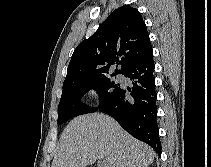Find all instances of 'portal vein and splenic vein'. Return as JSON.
Instances as JSON below:
<instances>
[{"instance_id": "obj_1", "label": "portal vein and splenic vein", "mask_w": 211, "mask_h": 167, "mask_svg": "<svg viewBox=\"0 0 211 167\" xmlns=\"http://www.w3.org/2000/svg\"><path fill=\"white\" fill-rule=\"evenodd\" d=\"M99 166L100 167H107V163L103 160H99Z\"/></svg>"}]
</instances>
